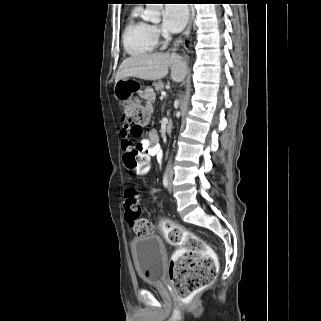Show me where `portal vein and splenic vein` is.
Segmentation results:
<instances>
[{"label": "portal vein and splenic vein", "mask_w": 321, "mask_h": 321, "mask_svg": "<svg viewBox=\"0 0 321 321\" xmlns=\"http://www.w3.org/2000/svg\"><path fill=\"white\" fill-rule=\"evenodd\" d=\"M166 96V92H161V98L165 97Z\"/></svg>", "instance_id": "18ae733b"}]
</instances>
